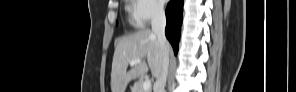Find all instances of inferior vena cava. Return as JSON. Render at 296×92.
<instances>
[{"label": "inferior vena cava", "instance_id": "inferior-vena-cava-1", "mask_svg": "<svg viewBox=\"0 0 296 92\" xmlns=\"http://www.w3.org/2000/svg\"><path fill=\"white\" fill-rule=\"evenodd\" d=\"M151 25H152V32L157 36L160 49L162 52V71L156 79V82L153 87V91L165 92V85H166L168 67H169V51H168V41L165 37L166 17H165L164 8L162 5H156L153 8Z\"/></svg>", "mask_w": 296, "mask_h": 92}]
</instances>
